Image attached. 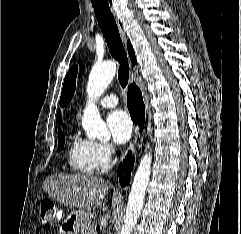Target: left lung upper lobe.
<instances>
[{
  "instance_id": "left-lung-upper-lobe-1",
  "label": "left lung upper lobe",
  "mask_w": 241,
  "mask_h": 234,
  "mask_svg": "<svg viewBox=\"0 0 241 234\" xmlns=\"http://www.w3.org/2000/svg\"><path fill=\"white\" fill-rule=\"evenodd\" d=\"M77 76V66L73 65L65 77L63 89L60 97V105L65 106L75 92V81Z\"/></svg>"
}]
</instances>
